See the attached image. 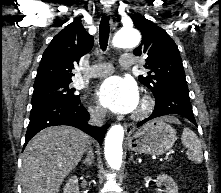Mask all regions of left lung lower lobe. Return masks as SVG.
<instances>
[{"instance_id":"obj_1","label":"left lung lower lobe","mask_w":221,"mask_h":193,"mask_svg":"<svg viewBox=\"0 0 221 193\" xmlns=\"http://www.w3.org/2000/svg\"><path fill=\"white\" fill-rule=\"evenodd\" d=\"M167 114H179L189 119L197 126L189 98L188 87H173L165 92L160 98L155 99L153 113L138 123L141 126L147 121Z\"/></svg>"}]
</instances>
